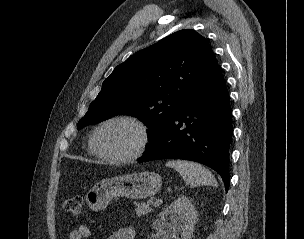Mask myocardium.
Returning a JSON list of instances; mask_svg holds the SVG:
<instances>
[{
  "instance_id": "myocardium-1",
  "label": "myocardium",
  "mask_w": 304,
  "mask_h": 239,
  "mask_svg": "<svg viewBox=\"0 0 304 239\" xmlns=\"http://www.w3.org/2000/svg\"><path fill=\"white\" fill-rule=\"evenodd\" d=\"M118 122H123V123H128L133 125L139 133V141L137 146L130 152L122 155H111L104 153L100 147L98 146L97 143V136L100 130L112 123H118ZM150 141V132L149 128L146 125L144 121L139 119L136 116L133 115H116L109 117L105 120H103L100 124L97 125V127L94 129L92 132L91 138H90V145L91 148L93 149L94 153L99 156L100 158L109 161V162H114V163H125L129 162L132 160H135L139 158L146 150L148 144Z\"/></svg>"
}]
</instances>
